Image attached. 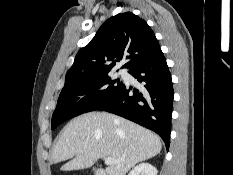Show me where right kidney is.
<instances>
[{
  "mask_svg": "<svg viewBox=\"0 0 233 175\" xmlns=\"http://www.w3.org/2000/svg\"><path fill=\"white\" fill-rule=\"evenodd\" d=\"M157 169L149 163H141L134 167L128 175H157Z\"/></svg>",
  "mask_w": 233,
  "mask_h": 175,
  "instance_id": "1",
  "label": "right kidney"
}]
</instances>
